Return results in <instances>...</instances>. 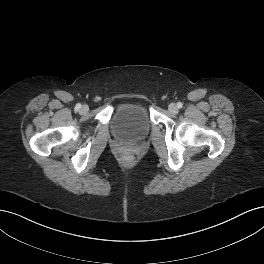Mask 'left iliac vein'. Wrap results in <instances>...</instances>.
Segmentation results:
<instances>
[{"instance_id":"1","label":"left iliac vein","mask_w":264,"mask_h":264,"mask_svg":"<svg viewBox=\"0 0 264 264\" xmlns=\"http://www.w3.org/2000/svg\"><path fill=\"white\" fill-rule=\"evenodd\" d=\"M168 109L172 113H177L178 112V107L176 106L175 103L169 104Z\"/></svg>"}]
</instances>
